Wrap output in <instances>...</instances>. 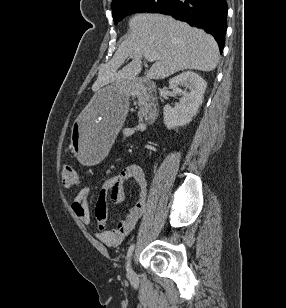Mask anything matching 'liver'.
Wrapping results in <instances>:
<instances>
[{"mask_svg": "<svg viewBox=\"0 0 286 308\" xmlns=\"http://www.w3.org/2000/svg\"><path fill=\"white\" fill-rule=\"evenodd\" d=\"M129 27V36L113 58L99 67L92 86L94 92L111 83L129 84L142 70L144 53L155 51L159 54V59L147 73L149 78L156 80L185 69L212 71L218 64L219 49L215 39L170 16L138 14L129 21ZM129 56L132 61L118 70Z\"/></svg>", "mask_w": 286, "mask_h": 308, "instance_id": "1", "label": "liver"}]
</instances>
